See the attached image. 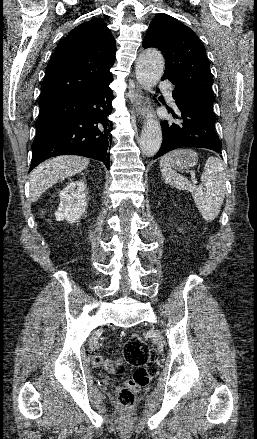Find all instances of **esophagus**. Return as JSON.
I'll use <instances>...</instances> for the list:
<instances>
[{
	"mask_svg": "<svg viewBox=\"0 0 257 439\" xmlns=\"http://www.w3.org/2000/svg\"><path fill=\"white\" fill-rule=\"evenodd\" d=\"M142 101H143V91H142V88L140 86H137L136 91H135V95H134V99L132 101L133 109L135 110L137 115L140 113Z\"/></svg>",
	"mask_w": 257,
	"mask_h": 439,
	"instance_id": "1",
	"label": "esophagus"
}]
</instances>
